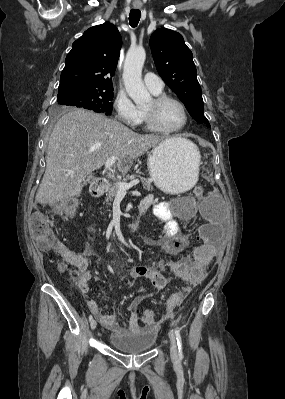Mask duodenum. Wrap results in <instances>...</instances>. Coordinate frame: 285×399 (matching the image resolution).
Wrapping results in <instances>:
<instances>
[{
    "label": "duodenum",
    "instance_id": "410a0bca",
    "mask_svg": "<svg viewBox=\"0 0 285 399\" xmlns=\"http://www.w3.org/2000/svg\"><path fill=\"white\" fill-rule=\"evenodd\" d=\"M90 191L94 197H101L102 195H104V193L106 191V184L105 183L93 184L91 186ZM145 212H146L145 208H139V217L134 222H132L128 227V231L130 233H134L139 229V227L141 225V220H142Z\"/></svg>",
    "mask_w": 285,
    "mask_h": 399
}]
</instances>
